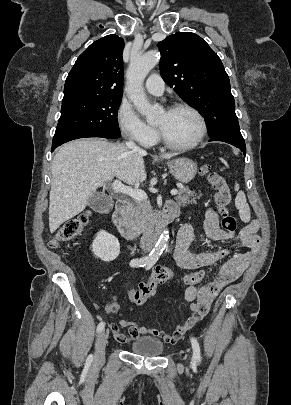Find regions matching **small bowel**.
Masks as SVG:
<instances>
[{
  "label": "small bowel",
  "instance_id": "1",
  "mask_svg": "<svg viewBox=\"0 0 291 405\" xmlns=\"http://www.w3.org/2000/svg\"><path fill=\"white\" fill-rule=\"evenodd\" d=\"M204 229L206 235L213 242H225L235 237L234 231L229 232L220 227L219 216L211 208L206 211ZM257 230V225L254 223L244 227L239 233V245L235 249L192 253L189 251V246L194 237V230L191 224H184L179 230L173 254L179 267L195 270L213 265L229 255H231L230 258L220 266L209 284L201 288H197L195 285H189L186 288L184 298L191 303V315L183 324L177 326L173 333L169 334L158 329H147L135 321L121 319L118 324H110L113 337L118 342L124 344L130 343L142 335H150L170 344L178 342L188 330L192 329L206 316L211 302L219 290L237 280L247 269L260 247V238L257 235ZM241 248H245V250H241ZM105 310L109 314H116L119 310L117 299L114 298L108 303ZM119 326L128 328V332L126 334L121 333Z\"/></svg>",
  "mask_w": 291,
  "mask_h": 405
}]
</instances>
